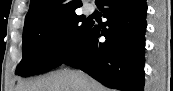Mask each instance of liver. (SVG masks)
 Wrapping results in <instances>:
<instances>
[{
  "instance_id": "liver-1",
  "label": "liver",
  "mask_w": 173,
  "mask_h": 91,
  "mask_svg": "<svg viewBox=\"0 0 173 91\" xmlns=\"http://www.w3.org/2000/svg\"><path fill=\"white\" fill-rule=\"evenodd\" d=\"M15 91H108L81 71L61 70L32 81L18 83Z\"/></svg>"
}]
</instances>
